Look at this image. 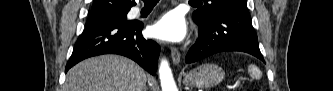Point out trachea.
I'll return each mask as SVG.
<instances>
[{
  "instance_id": "trachea-1",
  "label": "trachea",
  "mask_w": 333,
  "mask_h": 91,
  "mask_svg": "<svg viewBox=\"0 0 333 91\" xmlns=\"http://www.w3.org/2000/svg\"><path fill=\"white\" fill-rule=\"evenodd\" d=\"M145 3H153L156 4L158 2V0H144ZM192 2V1H190Z\"/></svg>"
}]
</instances>
